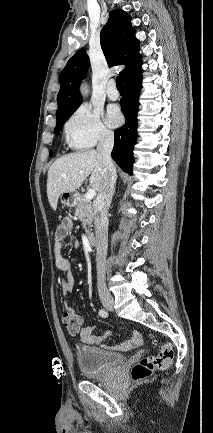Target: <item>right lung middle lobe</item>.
Returning <instances> with one entry per match:
<instances>
[{
	"instance_id": "obj_1",
	"label": "right lung middle lobe",
	"mask_w": 213,
	"mask_h": 433,
	"mask_svg": "<svg viewBox=\"0 0 213 433\" xmlns=\"http://www.w3.org/2000/svg\"><path fill=\"white\" fill-rule=\"evenodd\" d=\"M77 108H78V107H77ZM77 108H75V109H73V110L67 112V113L64 114L60 119L57 120V124H56V126H55V130H54V133H55V134H59V132H60V130H61V128H62V125H63V123L65 122V120H66L68 117H70V116L74 113V111H75ZM51 154H52V152L50 151V154H49V155H51Z\"/></svg>"
}]
</instances>
